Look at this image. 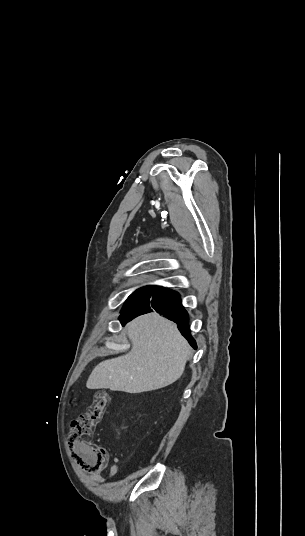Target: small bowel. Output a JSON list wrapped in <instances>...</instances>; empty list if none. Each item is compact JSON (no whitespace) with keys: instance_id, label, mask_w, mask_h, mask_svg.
Instances as JSON below:
<instances>
[{"instance_id":"obj_1","label":"small bowel","mask_w":305,"mask_h":536,"mask_svg":"<svg viewBox=\"0 0 305 536\" xmlns=\"http://www.w3.org/2000/svg\"><path fill=\"white\" fill-rule=\"evenodd\" d=\"M117 471H118V466H117L116 464H113V465L111 466V468H110V472H109V474H108V477H109V478L113 477V476L117 473ZM93 479H94V480H98V481L103 480V478H102L101 476H99V475H95V476H93Z\"/></svg>"}]
</instances>
